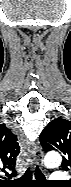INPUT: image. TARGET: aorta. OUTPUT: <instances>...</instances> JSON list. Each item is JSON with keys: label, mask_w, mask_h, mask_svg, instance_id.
I'll return each instance as SVG.
<instances>
[{"label": "aorta", "mask_w": 71, "mask_h": 187, "mask_svg": "<svg viewBox=\"0 0 71 187\" xmlns=\"http://www.w3.org/2000/svg\"><path fill=\"white\" fill-rule=\"evenodd\" d=\"M44 161L47 166L53 167V166H58L61 163L62 158L59 153L50 152L46 155Z\"/></svg>", "instance_id": "1"}]
</instances>
